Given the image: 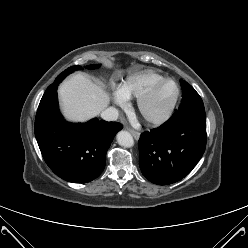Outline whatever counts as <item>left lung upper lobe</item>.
Instances as JSON below:
<instances>
[{
  "label": "left lung upper lobe",
  "instance_id": "obj_1",
  "mask_svg": "<svg viewBox=\"0 0 248 248\" xmlns=\"http://www.w3.org/2000/svg\"><path fill=\"white\" fill-rule=\"evenodd\" d=\"M180 83L183 91V98L182 103L176 112L186 113L194 108L202 107L203 101L195 89L184 80H180Z\"/></svg>",
  "mask_w": 248,
  "mask_h": 248
}]
</instances>
